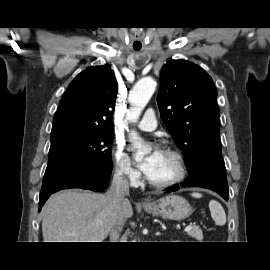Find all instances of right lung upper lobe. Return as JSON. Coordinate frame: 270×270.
<instances>
[{"label": "right lung upper lobe", "instance_id": "cb5924a9", "mask_svg": "<svg viewBox=\"0 0 270 270\" xmlns=\"http://www.w3.org/2000/svg\"><path fill=\"white\" fill-rule=\"evenodd\" d=\"M117 91V81L110 66L84 70L70 83L61 99L52 129L76 126L113 130Z\"/></svg>", "mask_w": 270, "mask_h": 270}]
</instances>
